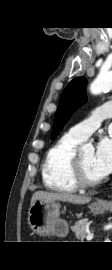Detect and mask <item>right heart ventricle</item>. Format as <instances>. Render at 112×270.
Segmentation results:
<instances>
[{"label": "right heart ventricle", "instance_id": "1", "mask_svg": "<svg viewBox=\"0 0 112 270\" xmlns=\"http://www.w3.org/2000/svg\"><path fill=\"white\" fill-rule=\"evenodd\" d=\"M80 143L67 133L48 150L41 171L48 190L62 194L77 191L69 174V162Z\"/></svg>", "mask_w": 112, "mask_h": 270}]
</instances>
